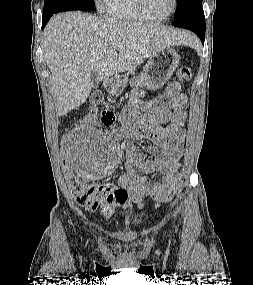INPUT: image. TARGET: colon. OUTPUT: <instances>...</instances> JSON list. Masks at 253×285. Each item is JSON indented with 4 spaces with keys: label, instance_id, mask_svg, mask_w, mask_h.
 <instances>
[{
    "label": "colon",
    "instance_id": "obj_1",
    "mask_svg": "<svg viewBox=\"0 0 253 285\" xmlns=\"http://www.w3.org/2000/svg\"><path fill=\"white\" fill-rule=\"evenodd\" d=\"M178 77L180 80H190L192 77L191 68L181 66L178 69ZM95 118V113L92 111L90 119ZM72 132H66L64 140L60 141L63 145L60 161L62 167L60 172H64L67 180H70V186L76 202L87 210L101 209L105 216H109L112 212V206L122 204L128 198L127 190L123 187H115L101 184H89L81 180L83 175H77L75 164L72 159V151L75 150V144Z\"/></svg>",
    "mask_w": 253,
    "mask_h": 285
}]
</instances>
